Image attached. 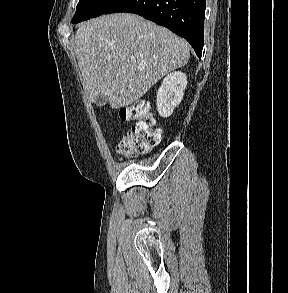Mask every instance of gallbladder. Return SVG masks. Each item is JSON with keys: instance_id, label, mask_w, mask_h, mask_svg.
<instances>
[{"instance_id": "gallbladder-1", "label": "gallbladder", "mask_w": 288, "mask_h": 293, "mask_svg": "<svg viewBox=\"0 0 288 293\" xmlns=\"http://www.w3.org/2000/svg\"><path fill=\"white\" fill-rule=\"evenodd\" d=\"M94 103L97 106H104L107 103V97L103 94H99L96 96Z\"/></svg>"}]
</instances>
